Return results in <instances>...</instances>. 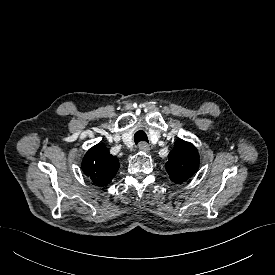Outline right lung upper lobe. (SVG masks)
I'll return each mask as SVG.
<instances>
[{
    "label": "right lung upper lobe",
    "mask_w": 275,
    "mask_h": 275,
    "mask_svg": "<svg viewBox=\"0 0 275 275\" xmlns=\"http://www.w3.org/2000/svg\"><path fill=\"white\" fill-rule=\"evenodd\" d=\"M119 166L117 157L112 156L102 143L89 149L82 161L83 172L101 186L107 185L113 179Z\"/></svg>",
    "instance_id": "right-lung-upper-lobe-1"
}]
</instances>
